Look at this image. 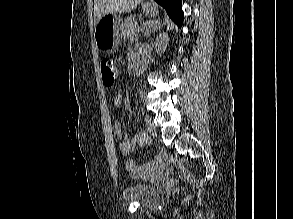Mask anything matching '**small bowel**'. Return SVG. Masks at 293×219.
Listing matches in <instances>:
<instances>
[{"label": "small bowel", "instance_id": "small-bowel-1", "mask_svg": "<svg viewBox=\"0 0 293 219\" xmlns=\"http://www.w3.org/2000/svg\"><path fill=\"white\" fill-rule=\"evenodd\" d=\"M113 104L116 109L120 108L122 105V97L120 94H116L113 98ZM114 133L117 139L122 140L120 142L119 148L123 154H129L137 146L142 144L146 133L144 131L137 132L131 139H123V131L120 124L116 121L114 124Z\"/></svg>", "mask_w": 293, "mask_h": 219}]
</instances>
